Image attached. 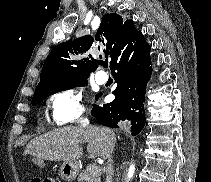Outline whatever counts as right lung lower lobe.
Here are the masks:
<instances>
[{
  "label": "right lung lower lobe",
  "mask_w": 211,
  "mask_h": 182,
  "mask_svg": "<svg viewBox=\"0 0 211 182\" xmlns=\"http://www.w3.org/2000/svg\"><path fill=\"white\" fill-rule=\"evenodd\" d=\"M116 73L117 88L114 101L99 107L93 105L92 116L108 127H118V121L131 120L132 134L137 135L145 125V90L152 73L150 46L143 34H138L117 52L111 67ZM101 95V93L99 94Z\"/></svg>",
  "instance_id": "right-lung-lower-lobe-1"
}]
</instances>
